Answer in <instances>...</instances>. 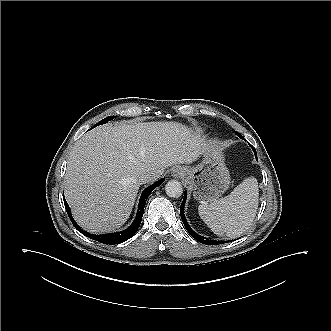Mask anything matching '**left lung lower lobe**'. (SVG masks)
Instances as JSON below:
<instances>
[{
	"mask_svg": "<svg viewBox=\"0 0 331 331\" xmlns=\"http://www.w3.org/2000/svg\"><path fill=\"white\" fill-rule=\"evenodd\" d=\"M238 137L244 139L242 137V135H240L239 133L237 134ZM254 149V148H253ZM255 151V150H254ZM255 154H256V151H255ZM186 197H187V193L185 192L184 193V199H183V202L181 204V207H180V215H181V218H182V221L187 229V231L189 232V234L194 238L196 239L197 241L203 243V244H206V245H218V244H222V243H226L224 241H215V240H210L206 237H203L201 235H198L197 233H195L191 227L189 226V224L187 223L186 219H185V215H184V205H185V202H186Z\"/></svg>",
	"mask_w": 331,
	"mask_h": 331,
	"instance_id": "1",
	"label": "left lung lower lobe"
}]
</instances>
